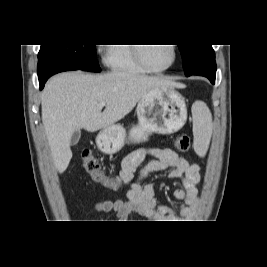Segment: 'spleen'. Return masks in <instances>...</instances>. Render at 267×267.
Instances as JSON below:
<instances>
[{"label": "spleen", "instance_id": "obj_1", "mask_svg": "<svg viewBox=\"0 0 267 267\" xmlns=\"http://www.w3.org/2000/svg\"><path fill=\"white\" fill-rule=\"evenodd\" d=\"M194 149L198 155L204 156L212 134V117L207 108L194 114L193 120Z\"/></svg>", "mask_w": 267, "mask_h": 267}]
</instances>
